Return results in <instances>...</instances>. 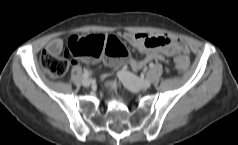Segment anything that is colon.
Instances as JSON below:
<instances>
[{
  "label": "colon",
  "instance_id": "obj_1",
  "mask_svg": "<svg viewBox=\"0 0 238 145\" xmlns=\"http://www.w3.org/2000/svg\"><path fill=\"white\" fill-rule=\"evenodd\" d=\"M68 51L74 56L87 60L104 57L106 62L113 66L123 65L129 58L125 45L114 36H73L68 42ZM40 64L55 77L63 76L69 67L67 57L53 55L47 50L41 53ZM174 64L179 72H184L189 67V60L182 54L174 58Z\"/></svg>",
  "mask_w": 238,
  "mask_h": 145
}]
</instances>
